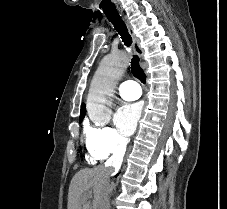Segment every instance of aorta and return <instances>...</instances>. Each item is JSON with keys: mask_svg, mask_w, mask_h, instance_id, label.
Returning <instances> with one entry per match:
<instances>
[{"mask_svg": "<svg viewBox=\"0 0 227 209\" xmlns=\"http://www.w3.org/2000/svg\"><path fill=\"white\" fill-rule=\"evenodd\" d=\"M129 64V56L125 51L113 52L103 58L91 82L87 98V111L92 121L110 113L108 104L114 91L116 81Z\"/></svg>", "mask_w": 227, "mask_h": 209, "instance_id": "1", "label": "aorta"}]
</instances>
